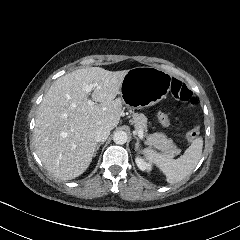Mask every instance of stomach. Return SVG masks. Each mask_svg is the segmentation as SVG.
I'll return each instance as SVG.
<instances>
[{
    "label": "stomach",
    "instance_id": "stomach-1",
    "mask_svg": "<svg viewBox=\"0 0 240 240\" xmlns=\"http://www.w3.org/2000/svg\"><path fill=\"white\" fill-rule=\"evenodd\" d=\"M170 80L171 75L157 67L131 68L119 90L121 99L133 109L154 105L168 95Z\"/></svg>",
    "mask_w": 240,
    "mask_h": 240
}]
</instances>
